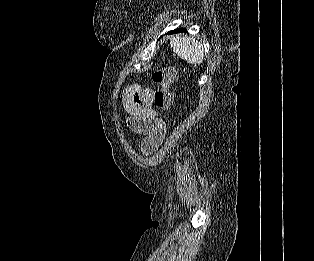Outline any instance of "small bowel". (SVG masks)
Here are the masks:
<instances>
[{
    "label": "small bowel",
    "instance_id": "small-bowel-1",
    "mask_svg": "<svg viewBox=\"0 0 314 261\" xmlns=\"http://www.w3.org/2000/svg\"><path fill=\"white\" fill-rule=\"evenodd\" d=\"M154 90L136 84L123 93V105L129 118V128L144 138L140 148L144 155L154 152L163 142L167 125L161 120L153 108Z\"/></svg>",
    "mask_w": 314,
    "mask_h": 261
}]
</instances>
